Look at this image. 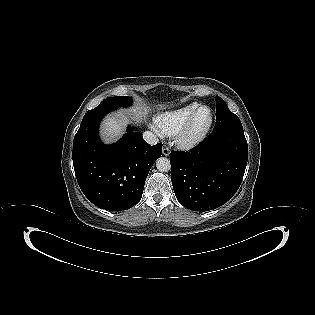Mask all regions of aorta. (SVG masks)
I'll use <instances>...</instances> for the list:
<instances>
[{"label":"aorta","instance_id":"obj_1","mask_svg":"<svg viewBox=\"0 0 315 315\" xmlns=\"http://www.w3.org/2000/svg\"><path fill=\"white\" fill-rule=\"evenodd\" d=\"M156 167L160 172H168L171 168L170 160L166 157H160L156 161Z\"/></svg>","mask_w":315,"mask_h":315}]
</instances>
